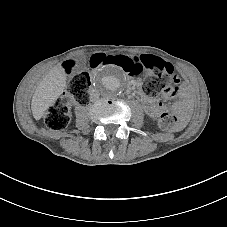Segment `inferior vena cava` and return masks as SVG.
I'll return each mask as SVG.
<instances>
[{"instance_id":"inferior-vena-cava-1","label":"inferior vena cava","mask_w":227,"mask_h":227,"mask_svg":"<svg viewBox=\"0 0 227 227\" xmlns=\"http://www.w3.org/2000/svg\"><path fill=\"white\" fill-rule=\"evenodd\" d=\"M99 98V93L96 90L90 91V101L95 102Z\"/></svg>"}]
</instances>
